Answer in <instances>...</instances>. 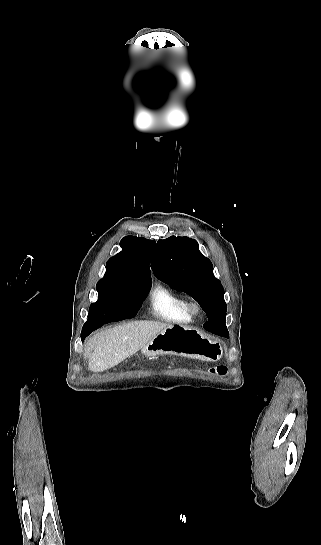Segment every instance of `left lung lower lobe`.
Instances as JSON below:
<instances>
[{"label":"left lung lower lobe","instance_id":"1","mask_svg":"<svg viewBox=\"0 0 321 545\" xmlns=\"http://www.w3.org/2000/svg\"><path fill=\"white\" fill-rule=\"evenodd\" d=\"M206 315L208 317V321L203 325L204 329L218 335L227 332L225 326L226 315H223L217 310L208 311Z\"/></svg>","mask_w":321,"mask_h":545}]
</instances>
